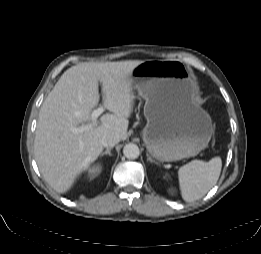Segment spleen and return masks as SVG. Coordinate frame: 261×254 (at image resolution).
<instances>
[{
    "label": "spleen",
    "mask_w": 261,
    "mask_h": 254,
    "mask_svg": "<svg viewBox=\"0 0 261 254\" xmlns=\"http://www.w3.org/2000/svg\"><path fill=\"white\" fill-rule=\"evenodd\" d=\"M222 168L220 157L208 162L193 160L178 170L179 185L182 198L193 202L204 195L217 183Z\"/></svg>",
    "instance_id": "spleen-1"
}]
</instances>
